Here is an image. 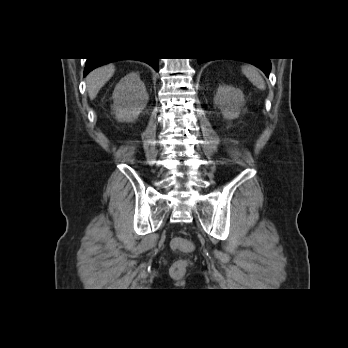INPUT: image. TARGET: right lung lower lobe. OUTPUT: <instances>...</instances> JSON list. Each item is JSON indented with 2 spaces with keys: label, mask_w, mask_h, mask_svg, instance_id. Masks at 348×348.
<instances>
[{
  "label": "right lung lower lobe",
  "mask_w": 348,
  "mask_h": 348,
  "mask_svg": "<svg viewBox=\"0 0 348 348\" xmlns=\"http://www.w3.org/2000/svg\"><path fill=\"white\" fill-rule=\"evenodd\" d=\"M113 61H116V60H110L106 58H87V62H86L85 70H84V76H86L93 69ZM143 61L148 63L156 71H158V58H148Z\"/></svg>",
  "instance_id": "1"
}]
</instances>
